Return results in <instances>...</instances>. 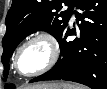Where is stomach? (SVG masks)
Here are the masks:
<instances>
[{"label": "stomach", "instance_id": "obj_1", "mask_svg": "<svg viewBox=\"0 0 107 89\" xmlns=\"http://www.w3.org/2000/svg\"><path fill=\"white\" fill-rule=\"evenodd\" d=\"M43 89H50V87H42ZM31 89H35V88H31ZM56 89H63V86L61 85L59 88Z\"/></svg>", "mask_w": 107, "mask_h": 89}]
</instances>
